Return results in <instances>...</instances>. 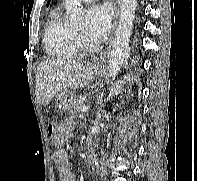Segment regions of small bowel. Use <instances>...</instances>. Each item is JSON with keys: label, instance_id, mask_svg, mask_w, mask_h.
Here are the masks:
<instances>
[{"label": "small bowel", "instance_id": "1", "mask_svg": "<svg viewBox=\"0 0 197 181\" xmlns=\"http://www.w3.org/2000/svg\"><path fill=\"white\" fill-rule=\"evenodd\" d=\"M72 126L69 123L68 127ZM53 161L57 167L60 181H75V174L73 173L68 154L64 149H59L53 154Z\"/></svg>", "mask_w": 197, "mask_h": 181}]
</instances>
